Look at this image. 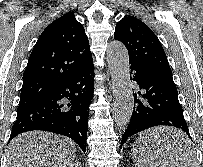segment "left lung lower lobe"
<instances>
[{
  "label": "left lung lower lobe",
  "instance_id": "1",
  "mask_svg": "<svg viewBox=\"0 0 203 167\" xmlns=\"http://www.w3.org/2000/svg\"><path fill=\"white\" fill-rule=\"evenodd\" d=\"M130 64V79L137 83L140 91L134 94V110L123 134L121 147L132 135L158 125L182 129L192 140L173 79L160 76L139 63ZM189 147L183 143L176 145V149L186 153L192 152Z\"/></svg>",
  "mask_w": 203,
  "mask_h": 167
}]
</instances>
